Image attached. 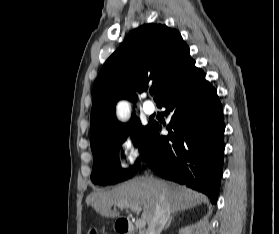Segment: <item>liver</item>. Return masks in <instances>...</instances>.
Returning <instances> with one entry per match:
<instances>
[{
	"label": "liver",
	"mask_w": 279,
	"mask_h": 234,
	"mask_svg": "<svg viewBox=\"0 0 279 234\" xmlns=\"http://www.w3.org/2000/svg\"><path fill=\"white\" fill-rule=\"evenodd\" d=\"M170 205L171 212L183 211L205 202L204 195L172 182L153 177H136L110 191H96L86 198V204L105 218L120 217L113 205L128 203L142 207V220L149 223L162 194Z\"/></svg>",
	"instance_id": "1"
}]
</instances>
